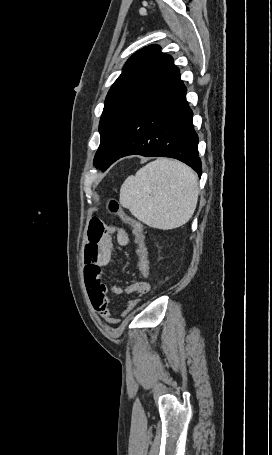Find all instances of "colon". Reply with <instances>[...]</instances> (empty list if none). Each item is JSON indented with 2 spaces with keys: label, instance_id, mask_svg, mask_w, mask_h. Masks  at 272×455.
Returning <instances> with one entry per match:
<instances>
[{
  "label": "colon",
  "instance_id": "obj_1",
  "mask_svg": "<svg viewBox=\"0 0 272 455\" xmlns=\"http://www.w3.org/2000/svg\"><path fill=\"white\" fill-rule=\"evenodd\" d=\"M109 209L112 213H118L122 220L132 228L137 243L139 274L142 280H147L150 275V263L142 223L121 211L119 205L115 201L109 203Z\"/></svg>",
  "mask_w": 272,
  "mask_h": 455
}]
</instances>
